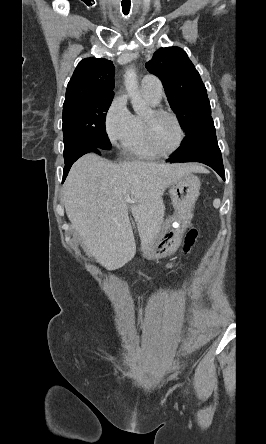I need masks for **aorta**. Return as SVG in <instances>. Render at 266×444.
Returning a JSON list of instances; mask_svg holds the SVG:
<instances>
[{
    "instance_id": "obj_1",
    "label": "aorta",
    "mask_w": 266,
    "mask_h": 444,
    "mask_svg": "<svg viewBox=\"0 0 266 444\" xmlns=\"http://www.w3.org/2000/svg\"><path fill=\"white\" fill-rule=\"evenodd\" d=\"M124 84L132 107L137 114H142L147 109L146 103L142 99L137 82V74L133 67L127 68L124 75Z\"/></svg>"
}]
</instances>
